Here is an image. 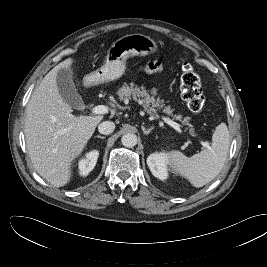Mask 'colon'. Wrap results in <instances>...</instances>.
<instances>
[{"label": "colon", "instance_id": "colon-1", "mask_svg": "<svg viewBox=\"0 0 267 267\" xmlns=\"http://www.w3.org/2000/svg\"><path fill=\"white\" fill-rule=\"evenodd\" d=\"M180 91L183 100L192 112L199 113L203 111L205 98L202 93L200 79L190 63H185L182 66Z\"/></svg>", "mask_w": 267, "mask_h": 267}]
</instances>
